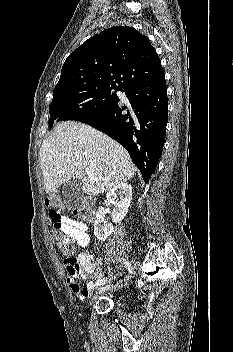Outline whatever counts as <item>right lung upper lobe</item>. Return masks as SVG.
I'll use <instances>...</instances> for the list:
<instances>
[{
	"label": "right lung upper lobe",
	"mask_w": 233,
	"mask_h": 352,
	"mask_svg": "<svg viewBox=\"0 0 233 352\" xmlns=\"http://www.w3.org/2000/svg\"><path fill=\"white\" fill-rule=\"evenodd\" d=\"M162 74L161 61L148 37L131 27H112L67 57L53 93L97 85L125 89Z\"/></svg>",
	"instance_id": "1"
}]
</instances>
